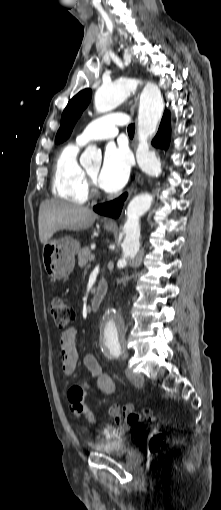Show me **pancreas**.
<instances>
[{"label": "pancreas", "instance_id": "cf45deb5", "mask_svg": "<svg viewBox=\"0 0 221 510\" xmlns=\"http://www.w3.org/2000/svg\"><path fill=\"white\" fill-rule=\"evenodd\" d=\"M91 255H92L91 251L88 247L82 248L78 253L79 266L83 267L84 265H86Z\"/></svg>", "mask_w": 221, "mask_h": 510}]
</instances>
